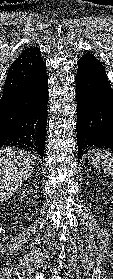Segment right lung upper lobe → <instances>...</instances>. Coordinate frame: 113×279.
I'll use <instances>...</instances> for the list:
<instances>
[{
	"instance_id": "1",
	"label": "right lung upper lobe",
	"mask_w": 113,
	"mask_h": 279,
	"mask_svg": "<svg viewBox=\"0 0 113 279\" xmlns=\"http://www.w3.org/2000/svg\"><path fill=\"white\" fill-rule=\"evenodd\" d=\"M44 66L46 64L41 58L40 48L27 47L24 49L8 70L0 100V109L4 108L9 99L21 90Z\"/></svg>"
}]
</instances>
